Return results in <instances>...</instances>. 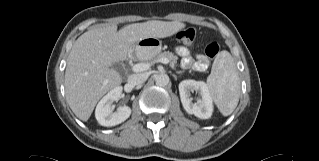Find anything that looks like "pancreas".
Segmentation results:
<instances>
[{
    "mask_svg": "<svg viewBox=\"0 0 319 161\" xmlns=\"http://www.w3.org/2000/svg\"><path fill=\"white\" fill-rule=\"evenodd\" d=\"M162 58H167L170 62V65L172 67H174L176 64H177V60H178V57L176 55H174L173 53L167 51V52H163V53H159L158 55H156L155 57H153L150 62L153 64V63H156L158 62L159 59H162Z\"/></svg>",
    "mask_w": 319,
    "mask_h": 161,
    "instance_id": "obj_1",
    "label": "pancreas"
}]
</instances>
